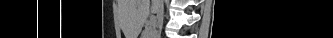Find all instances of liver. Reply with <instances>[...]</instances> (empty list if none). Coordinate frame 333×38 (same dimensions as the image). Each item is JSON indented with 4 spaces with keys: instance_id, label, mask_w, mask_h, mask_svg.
Returning a JSON list of instances; mask_svg holds the SVG:
<instances>
[{
    "instance_id": "1",
    "label": "liver",
    "mask_w": 333,
    "mask_h": 38,
    "mask_svg": "<svg viewBox=\"0 0 333 38\" xmlns=\"http://www.w3.org/2000/svg\"><path fill=\"white\" fill-rule=\"evenodd\" d=\"M151 4V7H150ZM120 9L122 12L131 11L134 9V28L135 36H137L138 31L143 27L150 11L153 13H158V0H121Z\"/></svg>"
}]
</instances>
